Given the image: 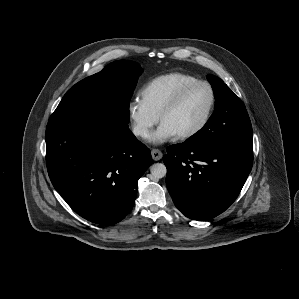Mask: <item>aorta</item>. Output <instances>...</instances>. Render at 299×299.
<instances>
[{"label":"aorta","mask_w":299,"mask_h":299,"mask_svg":"<svg viewBox=\"0 0 299 299\" xmlns=\"http://www.w3.org/2000/svg\"><path fill=\"white\" fill-rule=\"evenodd\" d=\"M151 175L156 178L160 179L166 176L167 169L166 166L162 163H155L150 168Z\"/></svg>","instance_id":"762f6f07"}]
</instances>
